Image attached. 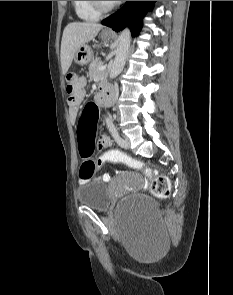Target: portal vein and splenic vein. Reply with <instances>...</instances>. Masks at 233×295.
<instances>
[{
    "label": "portal vein and splenic vein",
    "mask_w": 233,
    "mask_h": 295,
    "mask_svg": "<svg viewBox=\"0 0 233 295\" xmlns=\"http://www.w3.org/2000/svg\"><path fill=\"white\" fill-rule=\"evenodd\" d=\"M106 66L107 65H101V66H99L98 70H104V69H106Z\"/></svg>",
    "instance_id": "obj_1"
}]
</instances>
